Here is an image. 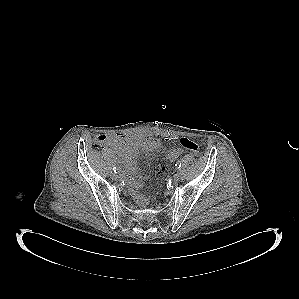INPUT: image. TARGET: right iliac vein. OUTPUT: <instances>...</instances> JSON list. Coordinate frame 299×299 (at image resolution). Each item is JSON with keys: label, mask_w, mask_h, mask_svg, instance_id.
I'll use <instances>...</instances> for the list:
<instances>
[{"label": "right iliac vein", "mask_w": 299, "mask_h": 299, "mask_svg": "<svg viewBox=\"0 0 299 299\" xmlns=\"http://www.w3.org/2000/svg\"><path fill=\"white\" fill-rule=\"evenodd\" d=\"M111 177L114 180H117L119 178L118 174H116V173H111Z\"/></svg>", "instance_id": "right-iliac-vein-1"}]
</instances>
